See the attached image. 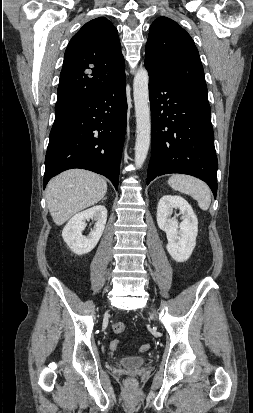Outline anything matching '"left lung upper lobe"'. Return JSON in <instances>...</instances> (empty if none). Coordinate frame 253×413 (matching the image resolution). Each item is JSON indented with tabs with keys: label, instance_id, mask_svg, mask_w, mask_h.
<instances>
[{
	"label": "left lung upper lobe",
	"instance_id": "left-lung-upper-lobe-1",
	"mask_svg": "<svg viewBox=\"0 0 253 413\" xmlns=\"http://www.w3.org/2000/svg\"><path fill=\"white\" fill-rule=\"evenodd\" d=\"M145 64L170 83L208 102L204 70L194 41L170 18H157L150 26Z\"/></svg>",
	"mask_w": 253,
	"mask_h": 413
}]
</instances>
